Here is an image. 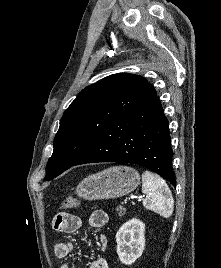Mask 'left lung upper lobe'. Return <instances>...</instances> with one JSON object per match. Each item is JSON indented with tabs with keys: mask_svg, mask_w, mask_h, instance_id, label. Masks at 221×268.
Segmentation results:
<instances>
[{
	"mask_svg": "<svg viewBox=\"0 0 221 268\" xmlns=\"http://www.w3.org/2000/svg\"><path fill=\"white\" fill-rule=\"evenodd\" d=\"M156 96L138 75L119 73L83 89L64 112L47 163V181L73 166L117 118Z\"/></svg>",
	"mask_w": 221,
	"mask_h": 268,
	"instance_id": "5c2ea615",
	"label": "left lung upper lobe"
}]
</instances>
